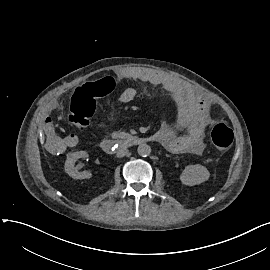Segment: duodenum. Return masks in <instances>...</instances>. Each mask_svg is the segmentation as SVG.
<instances>
[{"instance_id":"1","label":"duodenum","mask_w":270,"mask_h":270,"mask_svg":"<svg viewBox=\"0 0 270 270\" xmlns=\"http://www.w3.org/2000/svg\"><path fill=\"white\" fill-rule=\"evenodd\" d=\"M149 141H158L157 136L139 137L133 135H127L122 138H106L101 142V148L106 153H114L121 147H130L144 144Z\"/></svg>"}]
</instances>
